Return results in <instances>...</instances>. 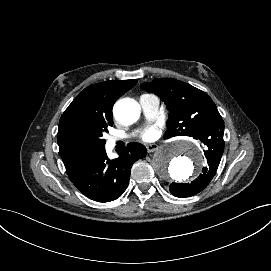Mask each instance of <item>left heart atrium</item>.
Listing matches in <instances>:
<instances>
[{
	"mask_svg": "<svg viewBox=\"0 0 271 271\" xmlns=\"http://www.w3.org/2000/svg\"><path fill=\"white\" fill-rule=\"evenodd\" d=\"M157 136L158 135L156 128H150L142 135V139L144 141L150 142L154 141L157 138Z\"/></svg>",
	"mask_w": 271,
	"mask_h": 271,
	"instance_id": "39dd6f15",
	"label": "left heart atrium"
}]
</instances>
